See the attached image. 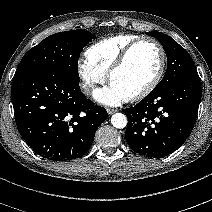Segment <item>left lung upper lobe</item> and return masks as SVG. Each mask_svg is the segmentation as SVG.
<instances>
[{
  "label": "left lung upper lobe",
  "mask_w": 212,
  "mask_h": 212,
  "mask_svg": "<svg viewBox=\"0 0 212 212\" xmlns=\"http://www.w3.org/2000/svg\"><path fill=\"white\" fill-rule=\"evenodd\" d=\"M147 35L159 40L167 55V71L155 89H161L181 77L196 73L189 53L170 36L160 32H147Z\"/></svg>",
  "instance_id": "left-lung-upper-lobe-1"
}]
</instances>
